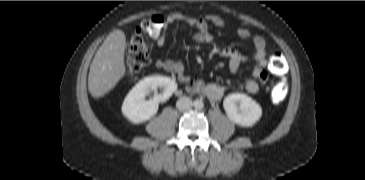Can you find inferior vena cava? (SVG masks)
Instances as JSON below:
<instances>
[{"label": "inferior vena cava", "mask_w": 365, "mask_h": 180, "mask_svg": "<svg viewBox=\"0 0 365 180\" xmlns=\"http://www.w3.org/2000/svg\"><path fill=\"white\" fill-rule=\"evenodd\" d=\"M192 105V100L188 97H181L176 103V107L180 111L189 110Z\"/></svg>", "instance_id": "obj_1"}]
</instances>
